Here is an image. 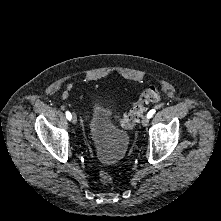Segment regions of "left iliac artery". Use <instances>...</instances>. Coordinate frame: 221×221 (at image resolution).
<instances>
[{
	"instance_id": "1",
	"label": "left iliac artery",
	"mask_w": 221,
	"mask_h": 221,
	"mask_svg": "<svg viewBox=\"0 0 221 221\" xmlns=\"http://www.w3.org/2000/svg\"><path fill=\"white\" fill-rule=\"evenodd\" d=\"M155 112H156L155 109L150 110V111L148 112V114H147V117H148V118H151V117L153 116V114H155Z\"/></svg>"
}]
</instances>
